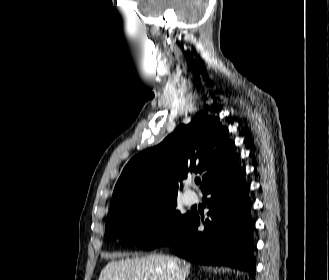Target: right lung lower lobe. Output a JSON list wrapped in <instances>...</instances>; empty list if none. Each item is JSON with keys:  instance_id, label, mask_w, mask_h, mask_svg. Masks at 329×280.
I'll return each mask as SVG.
<instances>
[{"instance_id": "obj_1", "label": "right lung lower lobe", "mask_w": 329, "mask_h": 280, "mask_svg": "<svg viewBox=\"0 0 329 280\" xmlns=\"http://www.w3.org/2000/svg\"><path fill=\"white\" fill-rule=\"evenodd\" d=\"M203 195L210 196L205 229L198 231L200 218L193 212L186 226L169 243L172 252L194 263L226 265L255 276L251 200L245 170L238 164L208 184Z\"/></svg>"}]
</instances>
